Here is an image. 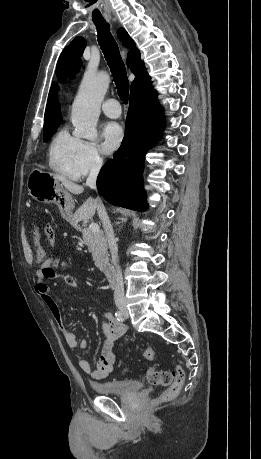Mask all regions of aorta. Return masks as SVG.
<instances>
[{
  "mask_svg": "<svg viewBox=\"0 0 261 459\" xmlns=\"http://www.w3.org/2000/svg\"><path fill=\"white\" fill-rule=\"evenodd\" d=\"M109 83L110 78L106 72L85 74L72 106L71 119L76 136L96 139L100 107Z\"/></svg>",
  "mask_w": 261,
  "mask_h": 459,
  "instance_id": "aorta-1",
  "label": "aorta"
}]
</instances>
